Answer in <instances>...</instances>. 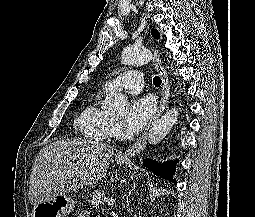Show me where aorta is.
I'll list each match as a JSON object with an SVG mask.
<instances>
[{"label": "aorta", "instance_id": "aorta-1", "mask_svg": "<svg viewBox=\"0 0 255 217\" xmlns=\"http://www.w3.org/2000/svg\"><path fill=\"white\" fill-rule=\"evenodd\" d=\"M151 58L152 53L147 48L127 47L122 52L121 61L126 65H141L148 63ZM105 108L120 115L127 114L129 110L128 100L120 90H114L107 95ZM178 115V109L172 108L155 121L149 130L148 142L155 145L165 138L176 123Z\"/></svg>", "mask_w": 255, "mask_h": 217}]
</instances>
